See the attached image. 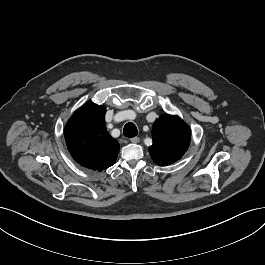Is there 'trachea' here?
<instances>
[{"mask_svg": "<svg viewBox=\"0 0 265 265\" xmlns=\"http://www.w3.org/2000/svg\"><path fill=\"white\" fill-rule=\"evenodd\" d=\"M123 133L128 138H133L138 134V130L136 126L129 122L124 126Z\"/></svg>", "mask_w": 265, "mask_h": 265, "instance_id": "trachea-1", "label": "trachea"}]
</instances>
